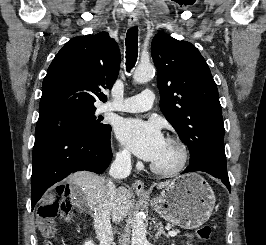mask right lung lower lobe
Returning <instances> with one entry per match:
<instances>
[{"mask_svg": "<svg viewBox=\"0 0 266 245\" xmlns=\"http://www.w3.org/2000/svg\"><path fill=\"white\" fill-rule=\"evenodd\" d=\"M111 132L102 140L72 128L60 126L35 136L31 177L32 210L44 192L68 174L88 170L105 171L112 159Z\"/></svg>", "mask_w": 266, "mask_h": 245, "instance_id": "1", "label": "right lung lower lobe"}]
</instances>
